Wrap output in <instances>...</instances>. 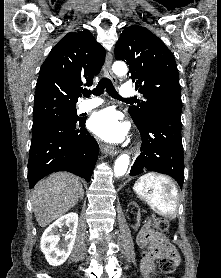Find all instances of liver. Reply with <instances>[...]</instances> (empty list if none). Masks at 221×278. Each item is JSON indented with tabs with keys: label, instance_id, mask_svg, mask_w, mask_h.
<instances>
[{
	"label": "liver",
	"instance_id": "1",
	"mask_svg": "<svg viewBox=\"0 0 221 278\" xmlns=\"http://www.w3.org/2000/svg\"><path fill=\"white\" fill-rule=\"evenodd\" d=\"M82 193V184L70 173H54L40 181L32 191V207L39 226L46 227L67 213Z\"/></svg>",
	"mask_w": 221,
	"mask_h": 278
}]
</instances>
